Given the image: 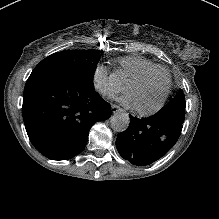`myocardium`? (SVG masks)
<instances>
[{
	"instance_id": "1",
	"label": "myocardium",
	"mask_w": 219,
	"mask_h": 219,
	"mask_svg": "<svg viewBox=\"0 0 219 219\" xmlns=\"http://www.w3.org/2000/svg\"><path fill=\"white\" fill-rule=\"evenodd\" d=\"M161 72H166L167 74V83L163 89L161 97L151 105H145L142 103H137L138 108L142 111H155L158 108H160L168 98V95L170 93L171 87H172V75L168 69H166L163 66H158L155 69L143 73L140 77H138L131 85L127 88V93L132 96L133 91L135 88L139 85H141L144 81H146L148 78L153 77L155 75H158Z\"/></svg>"
}]
</instances>
